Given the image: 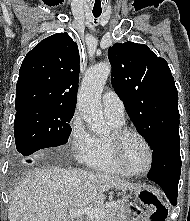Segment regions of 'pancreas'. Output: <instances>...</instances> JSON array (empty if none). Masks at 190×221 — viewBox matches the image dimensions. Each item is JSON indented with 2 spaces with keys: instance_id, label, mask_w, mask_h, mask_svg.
Segmentation results:
<instances>
[{
  "instance_id": "cf45deb5",
  "label": "pancreas",
  "mask_w": 190,
  "mask_h": 221,
  "mask_svg": "<svg viewBox=\"0 0 190 221\" xmlns=\"http://www.w3.org/2000/svg\"><path fill=\"white\" fill-rule=\"evenodd\" d=\"M110 203H106L99 208L106 211V218L96 217L90 219V221H124L126 218V204L123 201L115 202L114 206H109Z\"/></svg>"
}]
</instances>
